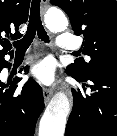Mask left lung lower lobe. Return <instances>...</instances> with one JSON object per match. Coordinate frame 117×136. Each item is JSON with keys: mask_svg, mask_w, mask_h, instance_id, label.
I'll return each mask as SVG.
<instances>
[{"mask_svg": "<svg viewBox=\"0 0 117 136\" xmlns=\"http://www.w3.org/2000/svg\"><path fill=\"white\" fill-rule=\"evenodd\" d=\"M66 72L82 84L84 91L73 90L74 104L65 136H117V67L97 68L85 79L68 69ZM86 87L92 93L86 94Z\"/></svg>", "mask_w": 117, "mask_h": 136, "instance_id": "1", "label": "left lung lower lobe"}]
</instances>
